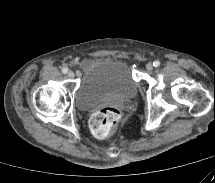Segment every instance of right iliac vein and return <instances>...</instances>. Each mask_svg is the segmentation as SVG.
I'll use <instances>...</instances> for the list:
<instances>
[{
	"label": "right iliac vein",
	"mask_w": 215,
	"mask_h": 183,
	"mask_svg": "<svg viewBox=\"0 0 215 183\" xmlns=\"http://www.w3.org/2000/svg\"><path fill=\"white\" fill-rule=\"evenodd\" d=\"M67 75L69 78H73L75 76L74 72L72 71H69Z\"/></svg>",
	"instance_id": "63e3f726"
}]
</instances>
